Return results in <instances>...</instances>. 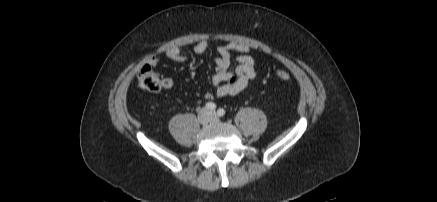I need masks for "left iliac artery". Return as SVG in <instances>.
I'll return each instance as SVG.
<instances>
[{"instance_id":"left-iliac-artery-1","label":"left iliac artery","mask_w":437,"mask_h":202,"mask_svg":"<svg viewBox=\"0 0 437 202\" xmlns=\"http://www.w3.org/2000/svg\"><path fill=\"white\" fill-rule=\"evenodd\" d=\"M218 116L222 117L225 115V110L223 108L218 109L217 111Z\"/></svg>"}]
</instances>
